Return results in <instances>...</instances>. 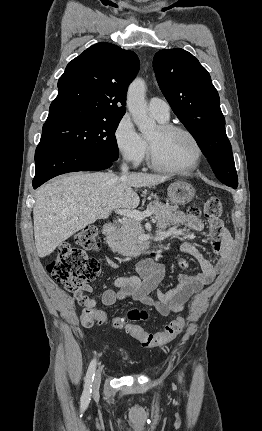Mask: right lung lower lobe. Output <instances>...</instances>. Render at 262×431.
Returning <instances> with one entry per match:
<instances>
[{
  "label": "right lung lower lobe",
  "mask_w": 262,
  "mask_h": 431,
  "mask_svg": "<svg viewBox=\"0 0 262 431\" xmlns=\"http://www.w3.org/2000/svg\"><path fill=\"white\" fill-rule=\"evenodd\" d=\"M114 161L75 147L39 143L35 152L36 172L33 187L36 189L49 179L68 172L104 170Z\"/></svg>",
  "instance_id": "1"
}]
</instances>
